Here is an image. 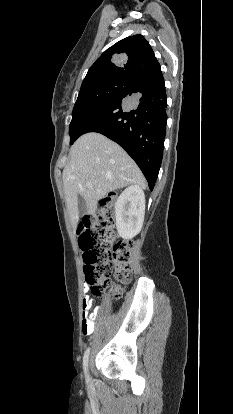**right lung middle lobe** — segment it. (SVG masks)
Wrapping results in <instances>:
<instances>
[{"mask_svg":"<svg viewBox=\"0 0 233 414\" xmlns=\"http://www.w3.org/2000/svg\"><path fill=\"white\" fill-rule=\"evenodd\" d=\"M132 84L130 80L105 77L81 86L69 126L70 144L79 137V128L89 115L123 95Z\"/></svg>","mask_w":233,"mask_h":414,"instance_id":"right-lung-middle-lobe-1","label":"right lung middle lobe"}]
</instances>
